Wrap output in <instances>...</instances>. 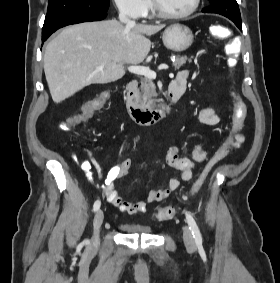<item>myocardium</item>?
<instances>
[{
    "mask_svg": "<svg viewBox=\"0 0 280 283\" xmlns=\"http://www.w3.org/2000/svg\"><path fill=\"white\" fill-rule=\"evenodd\" d=\"M200 1L201 0H193V4L190 7V9H188L187 11L183 12V13H179V14H170L167 13L165 11H163L156 3V0H151V6H152V10L155 13V15L161 19L164 20H181V19H185L189 16H191L192 14H194L197 9L199 8L200 5Z\"/></svg>",
    "mask_w": 280,
    "mask_h": 283,
    "instance_id": "1",
    "label": "myocardium"
}]
</instances>
